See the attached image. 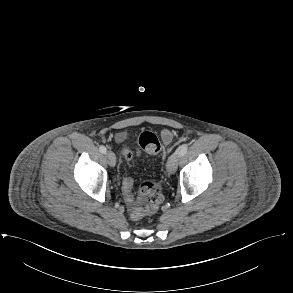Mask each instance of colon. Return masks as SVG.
<instances>
[{"instance_id": "5ec220e1", "label": "colon", "mask_w": 293, "mask_h": 293, "mask_svg": "<svg viewBox=\"0 0 293 293\" xmlns=\"http://www.w3.org/2000/svg\"><path fill=\"white\" fill-rule=\"evenodd\" d=\"M139 144L142 149L149 155H155L161 152L162 143L159 138L151 131H144L139 137ZM123 192L130 198V214L134 220L140 219L148 212H154L163 201V188L153 180H145L139 186V192L136 197L132 195L133 181L128 178L123 182ZM147 202L148 209H143L139 205Z\"/></svg>"}]
</instances>
